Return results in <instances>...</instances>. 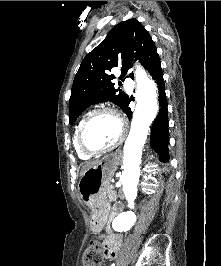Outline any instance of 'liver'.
<instances>
[{
  "mask_svg": "<svg viewBox=\"0 0 221 266\" xmlns=\"http://www.w3.org/2000/svg\"><path fill=\"white\" fill-rule=\"evenodd\" d=\"M98 162H99L98 160H95V161H91V162L86 163L83 166V168H82V171L80 173V176H82L87 169H89L90 167L96 165Z\"/></svg>",
  "mask_w": 221,
  "mask_h": 266,
  "instance_id": "liver-1",
  "label": "liver"
}]
</instances>
